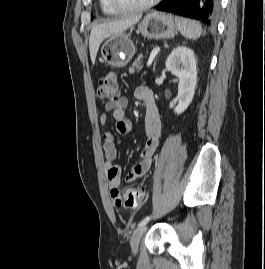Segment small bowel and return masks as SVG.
Instances as JSON below:
<instances>
[{
    "label": "small bowel",
    "mask_w": 265,
    "mask_h": 269,
    "mask_svg": "<svg viewBox=\"0 0 265 269\" xmlns=\"http://www.w3.org/2000/svg\"><path fill=\"white\" fill-rule=\"evenodd\" d=\"M134 95L135 98L138 101H141L146 108L145 132L147 135V141L140 153L139 160L126 176L127 182H133L149 171L152 164L153 155L159 146L162 133L161 120L152 90L146 85H141L135 90ZM127 104V98L121 97L115 101L107 102L104 105L106 112H112L113 118L116 121V130L121 135H127L132 130V123L125 116ZM99 123L101 126L107 125V113L100 115ZM103 137L104 142L102 149L106 159L104 164L106 180L109 184L114 203L116 205H120L117 198V193L121 183V170L114 163L117 158V148L112 133L107 131L103 134Z\"/></svg>",
    "instance_id": "small-bowel-1"
}]
</instances>
